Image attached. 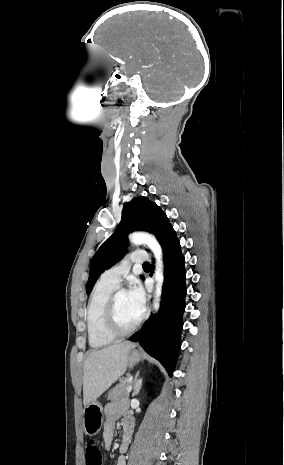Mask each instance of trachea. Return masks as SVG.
I'll use <instances>...</instances> for the list:
<instances>
[{
  "instance_id": "1",
  "label": "trachea",
  "mask_w": 284,
  "mask_h": 465,
  "mask_svg": "<svg viewBox=\"0 0 284 465\" xmlns=\"http://www.w3.org/2000/svg\"><path fill=\"white\" fill-rule=\"evenodd\" d=\"M143 268L144 269H150V263L149 262L143 263Z\"/></svg>"
}]
</instances>
